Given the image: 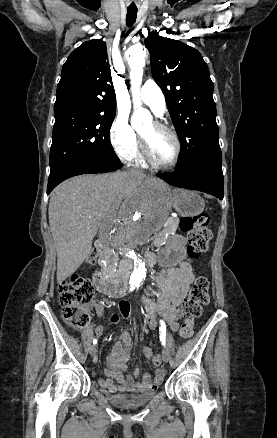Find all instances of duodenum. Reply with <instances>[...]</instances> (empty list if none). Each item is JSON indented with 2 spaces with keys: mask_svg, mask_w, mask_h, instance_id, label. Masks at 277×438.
Returning a JSON list of instances; mask_svg holds the SVG:
<instances>
[{
  "mask_svg": "<svg viewBox=\"0 0 277 438\" xmlns=\"http://www.w3.org/2000/svg\"><path fill=\"white\" fill-rule=\"evenodd\" d=\"M96 248L104 254L106 247L103 242H96ZM142 257L150 266L157 262V256L151 252H144ZM133 266L132 259H124L120 262L117 274L110 273L103 265L101 269L94 275V285L96 289L108 296H122L127 292L126 276Z\"/></svg>",
  "mask_w": 277,
  "mask_h": 438,
  "instance_id": "duodenum-1",
  "label": "duodenum"
}]
</instances>
